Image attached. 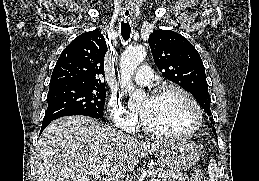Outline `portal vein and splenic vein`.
I'll use <instances>...</instances> for the list:
<instances>
[{"label":"portal vein and splenic vein","instance_id":"portal-vein-and-splenic-vein-1","mask_svg":"<svg viewBox=\"0 0 259 181\" xmlns=\"http://www.w3.org/2000/svg\"><path fill=\"white\" fill-rule=\"evenodd\" d=\"M87 173L90 175H94V176H98L99 174H103V173H108L107 169H95V168H91L87 170ZM150 181H160L158 179H151Z\"/></svg>","mask_w":259,"mask_h":181}]
</instances>
